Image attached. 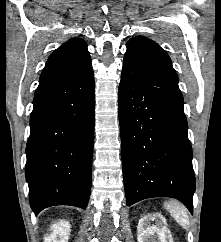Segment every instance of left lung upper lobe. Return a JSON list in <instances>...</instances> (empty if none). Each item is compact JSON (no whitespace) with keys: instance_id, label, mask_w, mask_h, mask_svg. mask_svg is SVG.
Here are the masks:
<instances>
[{"instance_id":"5c2ea615","label":"left lung upper lobe","mask_w":221,"mask_h":242,"mask_svg":"<svg viewBox=\"0 0 221 242\" xmlns=\"http://www.w3.org/2000/svg\"><path fill=\"white\" fill-rule=\"evenodd\" d=\"M124 67L153 86L181 94L170 57L148 38L137 36L129 40Z\"/></svg>"}]
</instances>
